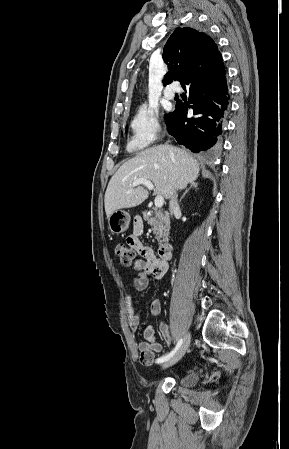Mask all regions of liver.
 <instances>
[{
	"mask_svg": "<svg viewBox=\"0 0 289 449\" xmlns=\"http://www.w3.org/2000/svg\"><path fill=\"white\" fill-rule=\"evenodd\" d=\"M199 164L186 150L169 145L148 148L125 162L112 176L105 193L107 218L123 208H133L148 198L142 186L132 187L139 178L154 183V194L171 199L177 189H184L197 179Z\"/></svg>",
	"mask_w": 289,
	"mask_h": 449,
	"instance_id": "6515ba94",
	"label": "liver"
}]
</instances>
